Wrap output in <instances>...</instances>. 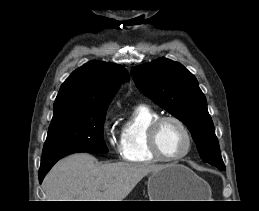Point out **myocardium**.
Wrapping results in <instances>:
<instances>
[{
    "label": "myocardium",
    "mask_w": 259,
    "mask_h": 211,
    "mask_svg": "<svg viewBox=\"0 0 259 211\" xmlns=\"http://www.w3.org/2000/svg\"><path fill=\"white\" fill-rule=\"evenodd\" d=\"M167 121H173V122L177 123L183 130V132L186 136V139H187V145H186V148L184 149V151L182 153H180L179 155L173 156V157L166 156L162 152L160 145H159V141H158L159 130H160L161 126ZM147 139H148V146H149L151 153L157 159L162 160V161H167V162H174V161H179V160L183 159L184 157H186L189 154V152L191 151L192 146H193V137H192V134H191L188 126L184 123L183 120H181L180 118L173 116V115L160 116L159 118H157L150 125V127L148 129Z\"/></svg>",
    "instance_id": "f54148a6"
}]
</instances>
